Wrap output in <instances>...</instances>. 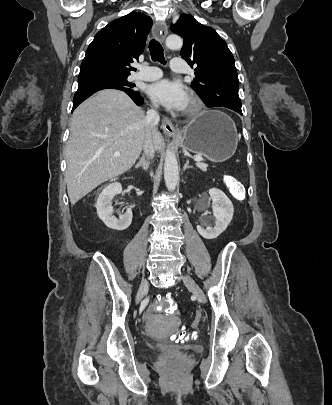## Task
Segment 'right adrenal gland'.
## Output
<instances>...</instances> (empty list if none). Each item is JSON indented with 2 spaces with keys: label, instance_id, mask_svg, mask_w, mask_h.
I'll return each instance as SVG.
<instances>
[{
  "label": "right adrenal gland",
  "instance_id": "2a0ac1e0",
  "mask_svg": "<svg viewBox=\"0 0 332 405\" xmlns=\"http://www.w3.org/2000/svg\"><path fill=\"white\" fill-rule=\"evenodd\" d=\"M150 165V161L147 157L142 156L139 162L135 165L136 168L142 167L144 171H147Z\"/></svg>",
  "mask_w": 332,
  "mask_h": 405
}]
</instances>
